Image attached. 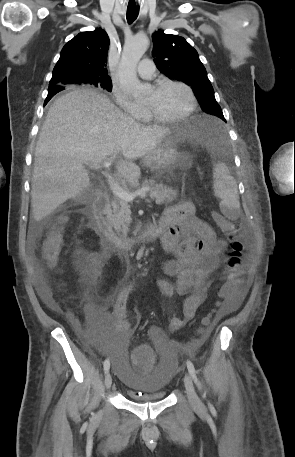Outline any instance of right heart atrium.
<instances>
[{
  "label": "right heart atrium",
  "instance_id": "d8ad5b80",
  "mask_svg": "<svg viewBox=\"0 0 295 457\" xmlns=\"http://www.w3.org/2000/svg\"><path fill=\"white\" fill-rule=\"evenodd\" d=\"M112 95L117 105L130 116L142 119L145 114L144 108L130 99L127 93L120 87L112 88Z\"/></svg>",
  "mask_w": 295,
  "mask_h": 457
}]
</instances>
